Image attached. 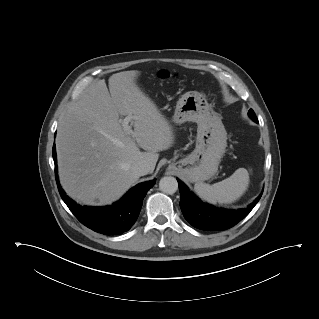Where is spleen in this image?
<instances>
[{"label":"spleen","instance_id":"obj_1","mask_svg":"<svg viewBox=\"0 0 319 319\" xmlns=\"http://www.w3.org/2000/svg\"><path fill=\"white\" fill-rule=\"evenodd\" d=\"M249 172L245 168L237 169L229 178L213 185L198 182L195 192L211 204H229L239 199L249 186Z\"/></svg>","mask_w":319,"mask_h":319}]
</instances>
